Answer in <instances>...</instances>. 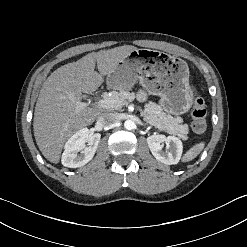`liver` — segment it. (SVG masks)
<instances>
[{
    "mask_svg": "<svg viewBox=\"0 0 247 247\" xmlns=\"http://www.w3.org/2000/svg\"><path fill=\"white\" fill-rule=\"evenodd\" d=\"M135 50V46L124 45L92 52L61 66L46 79L36 102L33 130L39 150L48 161L59 163L64 143L99 116V110L78 104L82 93L96 91L104 77Z\"/></svg>",
    "mask_w": 247,
    "mask_h": 247,
    "instance_id": "liver-1",
    "label": "liver"
}]
</instances>
